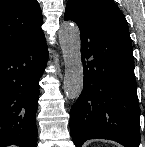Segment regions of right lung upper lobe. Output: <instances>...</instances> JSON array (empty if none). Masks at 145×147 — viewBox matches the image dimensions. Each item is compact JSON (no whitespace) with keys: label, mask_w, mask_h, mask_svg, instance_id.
Listing matches in <instances>:
<instances>
[{"label":"right lung upper lobe","mask_w":145,"mask_h":147,"mask_svg":"<svg viewBox=\"0 0 145 147\" xmlns=\"http://www.w3.org/2000/svg\"><path fill=\"white\" fill-rule=\"evenodd\" d=\"M37 0H0V52L43 34Z\"/></svg>","instance_id":"right-lung-upper-lobe-1"}]
</instances>
